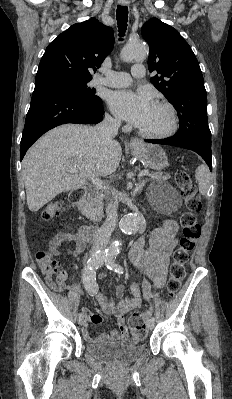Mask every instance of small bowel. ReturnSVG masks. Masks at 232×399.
I'll use <instances>...</instances> for the list:
<instances>
[{"label":"small bowel","mask_w":232,"mask_h":399,"mask_svg":"<svg viewBox=\"0 0 232 399\" xmlns=\"http://www.w3.org/2000/svg\"><path fill=\"white\" fill-rule=\"evenodd\" d=\"M177 239L178 228L173 221L164 222L161 228L149 237L138 236L133 239L129 253L130 262L134 266L141 268L143 273L152 279L154 287L158 290L162 289L165 284L170 252L175 246ZM147 242L150 244L151 248L149 252L143 253L142 247ZM85 248V242H78L73 249H62L58 243H53L51 251L55 256L66 253L73 258H78ZM100 275L104 276L105 273L102 272ZM130 292L132 295L131 300H121L118 303L113 300L108 301L103 294H98L97 296L104 311L107 314H115L118 318L119 330L106 334L109 341L114 344L126 338L128 335L129 328L124 323L125 313L141 306V288L138 285H133ZM117 294L120 298H123L125 294L123 286L118 287ZM82 312L88 319V322L79 325V332L91 345H100L101 336L92 334L93 328L91 324L101 322V317L92 313L89 308L85 306L82 307Z\"/></svg>","instance_id":"c3829d8e"}]
</instances>
